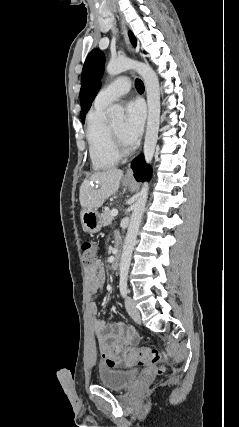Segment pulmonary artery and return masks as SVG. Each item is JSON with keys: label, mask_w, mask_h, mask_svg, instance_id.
Masks as SVG:
<instances>
[{"label": "pulmonary artery", "mask_w": 239, "mask_h": 427, "mask_svg": "<svg viewBox=\"0 0 239 427\" xmlns=\"http://www.w3.org/2000/svg\"><path fill=\"white\" fill-rule=\"evenodd\" d=\"M130 89L131 83L129 79L127 77H120L99 91L95 99V104L107 106L127 94Z\"/></svg>", "instance_id": "obj_1"}]
</instances>
